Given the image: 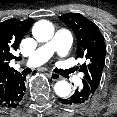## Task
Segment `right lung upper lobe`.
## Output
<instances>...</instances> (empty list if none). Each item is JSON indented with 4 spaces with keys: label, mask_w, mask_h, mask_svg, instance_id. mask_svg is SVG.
Segmentation results:
<instances>
[{
    "label": "right lung upper lobe",
    "mask_w": 117,
    "mask_h": 117,
    "mask_svg": "<svg viewBox=\"0 0 117 117\" xmlns=\"http://www.w3.org/2000/svg\"><path fill=\"white\" fill-rule=\"evenodd\" d=\"M33 19L19 21L8 19L0 23V95L4 93L13 79L20 76L9 67L11 59H19L12 53L17 50L22 37L28 32Z\"/></svg>",
    "instance_id": "obj_1"
}]
</instances>
